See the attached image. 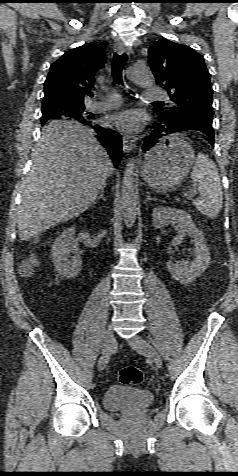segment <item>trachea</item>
Returning a JSON list of instances; mask_svg holds the SVG:
<instances>
[{
	"label": "trachea",
	"instance_id": "trachea-1",
	"mask_svg": "<svg viewBox=\"0 0 238 476\" xmlns=\"http://www.w3.org/2000/svg\"><path fill=\"white\" fill-rule=\"evenodd\" d=\"M127 54L123 53L121 55H118L117 53H114L113 56V63H112V74H113V80L117 84H122L123 85V80H122V70L127 62ZM160 103V102H158Z\"/></svg>",
	"mask_w": 238,
	"mask_h": 476
}]
</instances>
